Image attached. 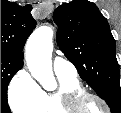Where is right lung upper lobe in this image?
Returning <instances> with one entry per match:
<instances>
[{
    "instance_id": "1",
    "label": "right lung upper lobe",
    "mask_w": 121,
    "mask_h": 113,
    "mask_svg": "<svg viewBox=\"0 0 121 113\" xmlns=\"http://www.w3.org/2000/svg\"><path fill=\"white\" fill-rule=\"evenodd\" d=\"M31 9V5L1 0V55L23 63L24 44L36 27Z\"/></svg>"
}]
</instances>
